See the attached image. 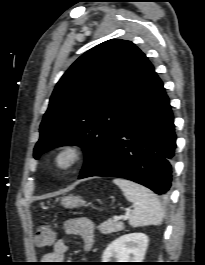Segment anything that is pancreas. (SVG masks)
I'll use <instances>...</instances> for the list:
<instances>
[{
  "label": "pancreas",
  "instance_id": "1",
  "mask_svg": "<svg viewBox=\"0 0 205 265\" xmlns=\"http://www.w3.org/2000/svg\"><path fill=\"white\" fill-rule=\"evenodd\" d=\"M98 229L103 234H111L124 229V224L119 221L108 219L98 226Z\"/></svg>",
  "mask_w": 205,
  "mask_h": 265
}]
</instances>
